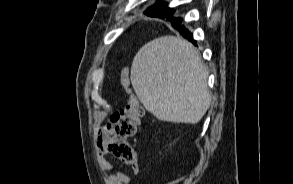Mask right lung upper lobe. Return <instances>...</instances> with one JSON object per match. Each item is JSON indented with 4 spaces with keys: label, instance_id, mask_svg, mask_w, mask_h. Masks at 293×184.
Masks as SVG:
<instances>
[{
    "label": "right lung upper lobe",
    "instance_id": "right-lung-upper-lobe-1",
    "mask_svg": "<svg viewBox=\"0 0 293 184\" xmlns=\"http://www.w3.org/2000/svg\"><path fill=\"white\" fill-rule=\"evenodd\" d=\"M157 4H160V5H157ZM173 13L174 11L168 9L163 2H157L153 7H151L149 10L145 12L146 15L151 17H159V18L167 17V19L172 18Z\"/></svg>",
    "mask_w": 293,
    "mask_h": 184
}]
</instances>
